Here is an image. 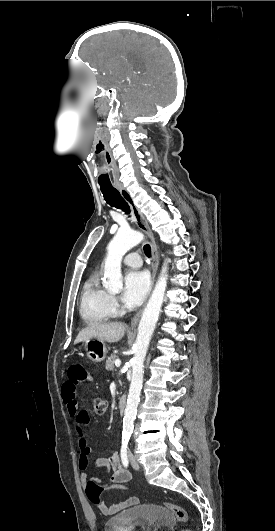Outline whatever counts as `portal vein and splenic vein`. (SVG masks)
<instances>
[{
    "mask_svg": "<svg viewBox=\"0 0 275 531\" xmlns=\"http://www.w3.org/2000/svg\"><path fill=\"white\" fill-rule=\"evenodd\" d=\"M115 365H116V367H120V365H121L120 359H116Z\"/></svg>",
    "mask_w": 275,
    "mask_h": 531,
    "instance_id": "1",
    "label": "portal vein and splenic vein"
}]
</instances>
